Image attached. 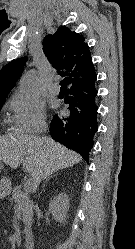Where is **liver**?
Returning a JSON list of instances; mask_svg holds the SVG:
<instances>
[{
	"mask_svg": "<svg viewBox=\"0 0 135 249\" xmlns=\"http://www.w3.org/2000/svg\"><path fill=\"white\" fill-rule=\"evenodd\" d=\"M81 160L79 154L49 137L0 136V161L14 169L23 163V169L32 176V187L35 180L38 187L42 179Z\"/></svg>",
	"mask_w": 135,
	"mask_h": 249,
	"instance_id": "1",
	"label": "liver"
}]
</instances>
